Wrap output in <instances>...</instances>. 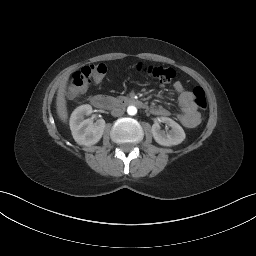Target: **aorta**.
Returning a JSON list of instances; mask_svg holds the SVG:
<instances>
[{
    "mask_svg": "<svg viewBox=\"0 0 256 256\" xmlns=\"http://www.w3.org/2000/svg\"><path fill=\"white\" fill-rule=\"evenodd\" d=\"M127 113L131 116L136 115L137 108L135 106H128Z\"/></svg>",
    "mask_w": 256,
    "mask_h": 256,
    "instance_id": "obj_1",
    "label": "aorta"
}]
</instances>
